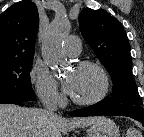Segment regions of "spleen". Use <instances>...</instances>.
<instances>
[{"label":"spleen","mask_w":144,"mask_h":137,"mask_svg":"<svg viewBox=\"0 0 144 137\" xmlns=\"http://www.w3.org/2000/svg\"><path fill=\"white\" fill-rule=\"evenodd\" d=\"M126 137H142V135L138 130L134 128H129Z\"/></svg>","instance_id":"1"}]
</instances>
